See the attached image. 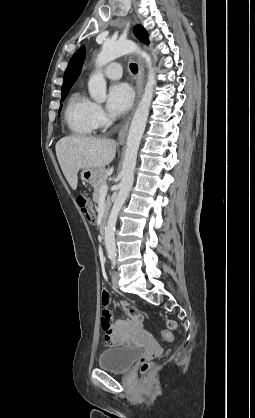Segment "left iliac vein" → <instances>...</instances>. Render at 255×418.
Masks as SVG:
<instances>
[{
    "mask_svg": "<svg viewBox=\"0 0 255 418\" xmlns=\"http://www.w3.org/2000/svg\"><path fill=\"white\" fill-rule=\"evenodd\" d=\"M120 278V274L118 271H114L112 274V284L114 287H117L118 280Z\"/></svg>",
    "mask_w": 255,
    "mask_h": 418,
    "instance_id": "left-iliac-vein-1",
    "label": "left iliac vein"
}]
</instances>
